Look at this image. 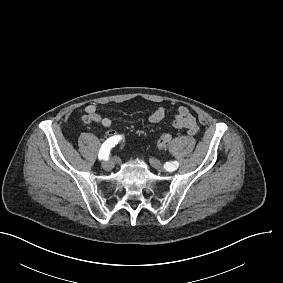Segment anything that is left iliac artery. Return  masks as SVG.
<instances>
[{
    "label": "left iliac artery",
    "instance_id": "1",
    "mask_svg": "<svg viewBox=\"0 0 283 283\" xmlns=\"http://www.w3.org/2000/svg\"><path fill=\"white\" fill-rule=\"evenodd\" d=\"M178 166H179V163H178L177 161H173V162H172L171 167H173V168H174L173 170L177 169V168H178ZM165 168H166V170H168L167 168H169V167H165Z\"/></svg>",
    "mask_w": 283,
    "mask_h": 283
}]
</instances>
